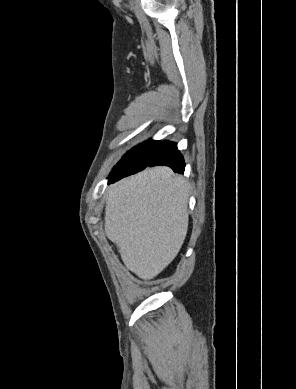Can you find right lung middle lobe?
Wrapping results in <instances>:
<instances>
[{
  "label": "right lung middle lobe",
  "instance_id": "1",
  "mask_svg": "<svg viewBox=\"0 0 296 389\" xmlns=\"http://www.w3.org/2000/svg\"><path fill=\"white\" fill-rule=\"evenodd\" d=\"M159 143L160 141L148 140L133 147L122 157L113 170L144 166L146 164L147 156Z\"/></svg>",
  "mask_w": 296,
  "mask_h": 389
}]
</instances>
